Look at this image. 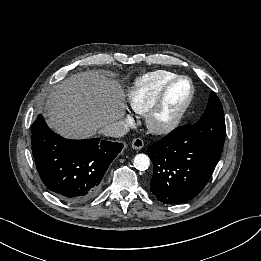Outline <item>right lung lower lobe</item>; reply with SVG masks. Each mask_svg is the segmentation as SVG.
I'll return each instance as SVG.
<instances>
[{
	"label": "right lung lower lobe",
	"mask_w": 261,
	"mask_h": 261,
	"mask_svg": "<svg viewBox=\"0 0 261 261\" xmlns=\"http://www.w3.org/2000/svg\"><path fill=\"white\" fill-rule=\"evenodd\" d=\"M32 152L41 180L59 198L82 202L101 180L123 144L99 139L70 140L54 133L38 115L32 124Z\"/></svg>",
	"instance_id": "right-lung-lower-lobe-1"
}]
</instances>
